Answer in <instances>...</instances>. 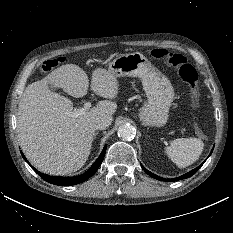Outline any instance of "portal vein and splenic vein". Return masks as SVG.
I'll use <instances>...</instances> for the list:
<instances>
[{"label":"portal vein and splenic vein","mask_w":233,"mask_h":233,"mask_svg":"<svg viewBox=\"0 0 233 233\" xmlns=\"http://www.w3.org/2000/svg\"><path fill=\"white\" fill-rule=\"evenodd\" d=\"M90 107H91V103L85 102L83 108H80V109L73 111L72 115L75 117H78V116L82 115L85 111L89 110Z\"/></svg>","instance_id":"1"}]
</instances>
